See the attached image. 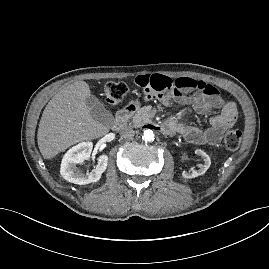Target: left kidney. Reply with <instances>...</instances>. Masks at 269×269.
<instances>
[{
	"label": "left kidney",
	"mask_w": 269,
	"mask_h": 269,
	"mask_svg": "<svg viewBox=\"0 0 269 269\" xmlns=\"http://www.w3.org/2000/svg\"><path fill=\"white\" fill-rule=\"evenodd\" d=\"M195 154L202 157L204 164L199 165L198 170H194L192 172L183 171L182 172L183 178L189 179V178H195V177H198L200 175H203L210 167V165H211L210 157L203 150L196 149Z\"/></svg>",
	"instance_id": "obj_1"
}]
</instances>
